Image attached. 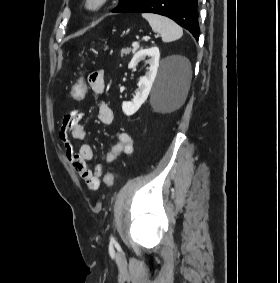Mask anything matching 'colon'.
Wrapping results in <instances>:
<instances>
[{"mask_svg":"<svg viewBox=\"0 0 280 283\" xmlns=\"http://www.w3.org/2000/svg\"><path fill=\"white\" fill-rule=\"evenodd\" d=\"M89 78L85 73H82L76 82L70 87V99L71 102H84L87 98V92H91V87H88ZM114 181V175L112 172H108L105 175V184L110 187Z\"/></svg>","mask_w":280,"mask_h":283,"instance_id":"5ec220e1","label":"colon"}]
</instances>
